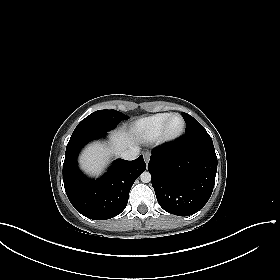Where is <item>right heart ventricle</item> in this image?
<instances>
[{
  "instance_id": "1",
  "label": "right heart ventricle",
  "mask_w": 280,
  "mask_h": 280,
  "mask_svg": "<svg viewBox=\"0 0 280 280\" xmlns=\"http://www.w3.org/2000/svg\"><path fill=\"white\" fill-rule=\"evenodd\" d=\"M171 113H158L138 120L133 132L142 140L152 141L159 137L161 128Z\"/></svg>"
}]
</instances>
